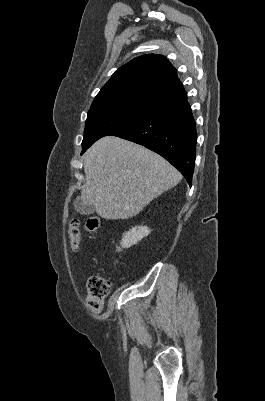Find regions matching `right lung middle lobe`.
Wrapping results in <instances>:
<instances>
[{
	"label": "right lung middle lobe",
	"mask_w": 265,
	"mask_h": 401,
	"mask_svg": "<svg viewBox=\"0 0 265 401\" xmlns=\"http://www.w3.org/2000/svg\"><path fill=\"white\" fill-rule=\"evenodd\" d=\"M163 105L144 100H128L91 106L85 123L82 153L112 131L135 123Z\"/></svg>",
	"instance_id": "right-lung-middle-lobe-1"
}]
</instances>
